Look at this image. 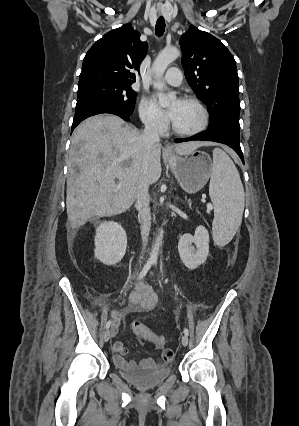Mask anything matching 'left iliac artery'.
Here are the masks:
<instances>
[{"instance_id":"obj_1","label":"left iliac artery","mask_w":299,"mask_h":426,"mask_svg":"<svg viewBox=\"0 0 299 426\" xmlns=\"http://www.w3.org/2000/svg\"><path fill=\"white\" fill-rule=\"evenodd\" d=\"M155 264H156V263H155ZM184 334H185V335H187V336L189 335V331H188V329H187V328H184Z\"/></svg>"}]
</instances>
